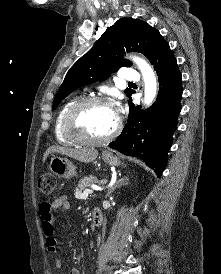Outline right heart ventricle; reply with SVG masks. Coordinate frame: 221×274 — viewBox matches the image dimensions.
Here are the masks:
<instances>
[{
  "mask_svg": "<svg viewBox=\"0 0 221 274\" xmlns=\"http://www.w3.org/2000/svg\"><path fill=\"white\" fill-rule=\"evenodd\" d=\"M80 97H73L67 100L59 109L55 122H54V136L56 140L63 144V145H74L77 142L73 139H71L64 130V118L65 114L68 111V109L78 100H80Z\"/></svg>",
  "mask_w": 221,
  "mask_h": 274,
  "instance_id": "right-heart-ventricle-1",
  "label": "right heart ventricle"
}]
</instances>
